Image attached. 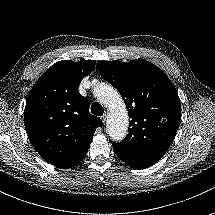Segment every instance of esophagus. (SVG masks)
<instances>
[{"label":"esophagus","instance_id":"esophagus-1","mask_svg":"<svg viewBox=\"0 0 215 215\" xmlns=\"http://www.w3.org/2000/svg\"><path fill=\"white\" fill-rule=\"evenodd\" d=\"M106 118H107V114H104L101 116V120H102L103 124L106 123Z\"/></svg>","mask_w":215,"mask_h":215}]
</instances>
